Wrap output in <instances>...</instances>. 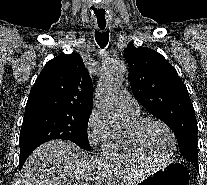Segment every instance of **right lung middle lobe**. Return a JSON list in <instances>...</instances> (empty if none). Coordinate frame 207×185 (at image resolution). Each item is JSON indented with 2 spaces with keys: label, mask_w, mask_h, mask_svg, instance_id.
<instances>
[{
  "label": "right lung middle lobe",
  "mask_w": 207,
  "mask_h": 185,
  "mask_svg": "<svg viewBox=\"0 0 207 185\" xmlns=\"http://www.w3.org/2000/svg\"><path fill=\"white\" fill-rule=\"evenodd\" d=\"M89 117L90 115L46 111L25 113L19 139V168L36 147L53 139L70 140L90 151L87 135Z\"/></svg>",
  "instance_id": "obj_1"
}]
</instances>
